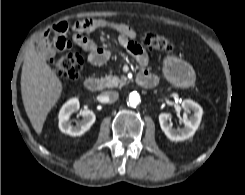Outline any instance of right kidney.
<instances>
[{
    "mask_svg": "<svg viewBox=\"0 0 245 195\" xmlns=\"http://www.w3.org/2000/svg\"><path fill=\"white\" fill-rule=\"evenodd\" d=\"M79 110V100L77 98L69 99L59 112V129L61 132L70 136H81L96 120V116L91 110H81L80 115L83 119L75 126L71 124L70 116Z\"/></svg>",
    "mask_w": 245,
    "mask_h": 195,
    "instance_id": "right-kidney-1",
    "label": "right kidney"
}]
</instances>
